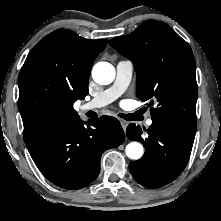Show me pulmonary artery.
Returning <instances> with one entry per match:
<instances>
[{"instance_id": "1", "label": "pulmonary artery", "mask_w": 221, "mask_h": 221, "mask_svg": "<svg viewBox=\"0 0 221 221\" xmlns=\"http://www.w3.org/2000/svg\"><path fill=\"white\" fill-rule=\"evenodd\" d=\"M133 69V63L130 60L119 61L116 66V78L114 83L109 88L99 93L92 100L82 105L81 110H95L115 101L129 86ZM152 123V119H147L146 124L148 126L152 125Z\"/></svg>"}]
</instances>
